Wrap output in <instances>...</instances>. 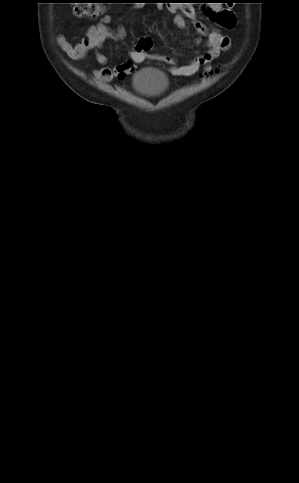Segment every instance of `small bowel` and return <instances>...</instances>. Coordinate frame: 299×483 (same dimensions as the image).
Here are the masks:
<instances>
[{
    "mask_svg": "<svg viewBox=\"0 0 299 483\" xmlns=\"http://www.w3.org/2000/svg\"><path fill=\"white\" fill-rule=\"evenodd\" d=\"M167 10L173 14L175 25L183 29L186 26V17L194 19L195 10L190 5L169 4ZM209 13L215 22L224 29H232L236 22V16L233 12L224 9L219 4H213L209 8ZM111 22L110 16H104L100 22L92 25L86 36L78 43L72 44L65 36L59 35L57 42L64 52L73 60H80L94 50L96 52V60L101 65L95 70V77L100 82H109L113 78L124 79L131 74L137 64L148 59H155L167 63L172 74L177 76H192L198 72L201 67H207L222 52L230 48V38L217 30H208L202 23L195 21L194 26L198 33L206 37L207 50L197 53L185 65H177L172 59L163 55L153 54L150 52L152 48V40L149 37L141 38L135 48L129 52L130 59L122 64L114 67H108L109 58L99 50L106 39L120 40L126 36V28L123 25L111 29L108 24Z\"/></svg>",
    "mask_w": 299,
    "mask_h": 483,
    "instance_id": "obj_1",
    "label": "small bowel"
}]
</instances>
